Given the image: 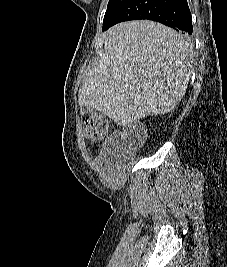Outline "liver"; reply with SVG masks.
<instances>
[{"label": "liver", "mask_w": 227, "mask_h": 267, "mask_svg": "<svg viewBox=\"0 0 227 267\" xmlns=\"http://www.w3.org/2000/svg\"><path fill=\"white\" fill-rule=\"evenodd\" d=\"M193 47L157 22L120 23L105 33L104 54L84 77L79 103L126 125L172 111L186 93Z\"/></svg>", "instance_id": "1"}]
</instances>
